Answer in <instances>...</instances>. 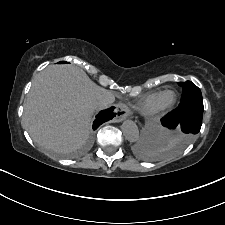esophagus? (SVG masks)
Instances as JSON below:
<instances>
[{"label": "esophagus", "instance_id": "esophagus-1", "mask_svg": "<svg viewBox=\"0 0 225 225\" xmlns=\"http://www.w3.org/2000/svg\"><path fill=\"white\" fill-rule=\"evenodd\" d=\"M117 112H118V115L116 117V120L118 122L123 121L129 115V109L125 104H118L117 105Z\"/></svg>", "mask_w": 225, "mask_h": 225}]
</instances>
